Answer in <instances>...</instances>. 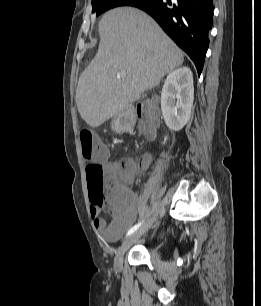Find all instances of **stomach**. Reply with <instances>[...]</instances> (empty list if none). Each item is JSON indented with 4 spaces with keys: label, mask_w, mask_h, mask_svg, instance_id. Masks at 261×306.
I'll use <instances>...</instances> for the list:
<instances>
[{
    "label": "stomach",
    "mask_w": 261,
    "mask_h": 306,
    "mask_svg": "<svg viewBox=\"0 0 261 306\" xmlns=\"http://www.w3.org/2000/svg\"><path fill=\"white\" fill-rule=\"evenodd\" d=\"M135 123V119L128 111L121 112L114 119V129L118 132L130 131Z\"/></svg>",
    "instance_id": "1"
}]
</instances>
